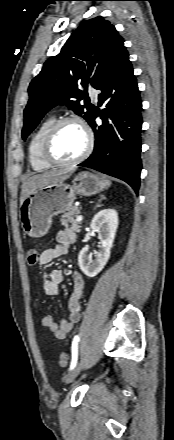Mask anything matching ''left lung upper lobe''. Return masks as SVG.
<instances>
[{
    "label": "left lung upper lobe",
    "instance_id": "5c2ea615",
    "mask_svg": "<svg viewBox=\"0 0 174 440\" xmlns=\"http://www.w3.org/2000/svg\"><path fill=\"white\" fill-rule=\"evenodd\" d=\"M124 48L123 38L103 17L81 23L60 53L49 58L30 83L29 101L24 110L23 139L52 107L59 104L67 105L88 122L94 108L79 104L86 89L83 93L77 86L81 84L87 88L90 84L97 88L104 72Z\"/></svg>",
    "mask_w": 174,
    "mask_h": 440
}]
</instances>
